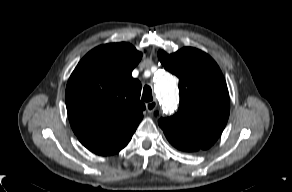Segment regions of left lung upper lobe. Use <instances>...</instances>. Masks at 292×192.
I'll list each match as a JSON object with an SVG mask.
<instances>
[{
	"instance_id": "left-lung-upper-lobe-1",
	"label": "left lung upper lobe",
	"mask_w": 292,
	"mask_h": 192,
	"mask_svg": "<svg viewBox=\"0 0 292 192\" xmlns=\"http://www.w3.org/2000/svg\"><path fill=\"white\" fill-rule=\"evenodd\" d=\"M166 70L179 78L178 112L158 123L170 143L206 150L228 121L230 99L223 74L205 52L192 47L176 53L158 51Z\"/></svg>"
}]
</instances>
